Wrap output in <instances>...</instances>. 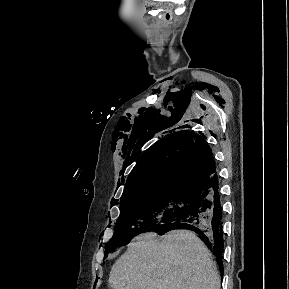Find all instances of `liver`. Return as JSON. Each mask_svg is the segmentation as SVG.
<instances>
[{"label": "liver", "mask_w": 289, "mask_h": 289, "mask_svg": "<svg viewBox=\"0 0 289 289\" xmlns=\"http://www.w3.org/2000/svg\"><path fill=\"white\" fill-rule=\"evenodd\" d=\"M112 289H220L216 264L205 244L189 230L145 233L128 245L111 268Z\"/></svg>", "instance_id": "1"}]
</instances>
